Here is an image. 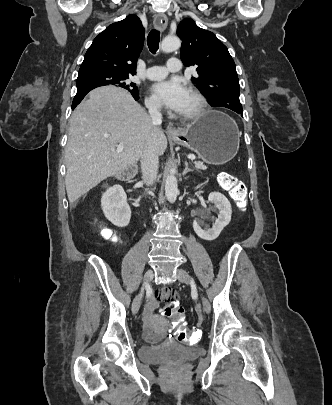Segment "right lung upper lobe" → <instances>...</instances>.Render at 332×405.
Wrapping results in <instances>:
<instances>
[{"instance_id":"1","label":"right lung upper lobe","mask_w":332,"mask_h":405,"mask_svg":"<svg viewBox=\"0 0 332 405\" xmlns=\"http://www.w3.org/2000/svg\"><path fill=\"white\" fill-rule=\"evenodd\" d=\"M145 29L136 15L109 25L87 50L79 74L111 72L134 75Z\"/></svg>"}]
</instances>
